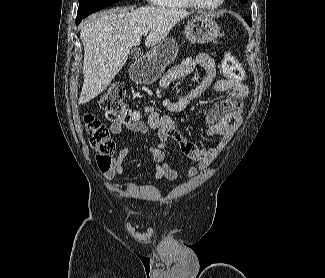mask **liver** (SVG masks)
I'll return each mask as SVG.
<instances>
[{"mask_svg":"<svg viewBox=\"0 0 325 278\" xmlns=\"http://www.w3.org/2000/svg\"><path fill=\"white\" fill-rule=\"evenodd\" d=\"M189 15L181 9L150 6L92 16L80 31L84 82L79 104L91 101L109 86L126 63L131 48L140 44L144 29L151 30L145 46L153 47Z\"/></svg>","mask_w":325,"mask_h":278,"instance_id":"liver-1","label":"liver"}]
</instances>
